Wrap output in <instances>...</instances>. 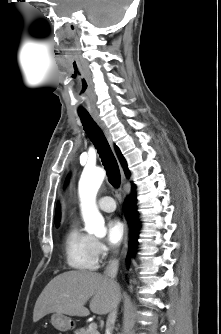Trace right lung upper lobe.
<instances>
[{"label": "right lung upper lobe", "instance_id": "cb5924a9", "mask_svg": "<svg viewBox=\"0 0 221 334\" xmlns=\"http://www.w3.org/2000/svg\"><path fill=\"white\" fill-rule=\"evenodd\" d=\"M115 148H116V152L118 154V157L120 159V162H121V164H122V166L124 168L125 174H126V176H129V171L127 169L126 161H125L124 157L122 156V154H121L120 150L118 149V147H115ZM59 220H60V212H59V207H57L56 214H55V224H56V226H58Z\"/></svg>", "mask_w": 221, "mask_h": 334}]
</instances>
